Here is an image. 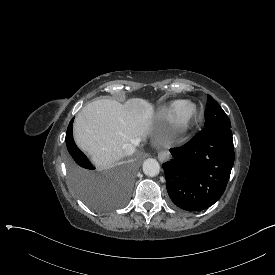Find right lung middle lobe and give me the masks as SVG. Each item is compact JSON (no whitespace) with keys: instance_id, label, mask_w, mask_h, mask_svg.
Returning a JSON list of instances; mask_svg holds the SVG:
<instances>
[{"instance_id":"obj_1","label":"right lung middle lobe","mask_w":275,"mask_h":275,"mask_svg":"<svg viewBox=\"0 0 275 275\" xmlns=\"http://www.w3.org/2000/svg\"><path fill=\"white\" fill-rule=\"evenodd\" d=\"M73 120L66 133L70 185L75 194L92 209L108 212L127 201L136 169L125 158L113 159L111 168L91 163L73 140Z\"/></svg>"}]
</instances>
